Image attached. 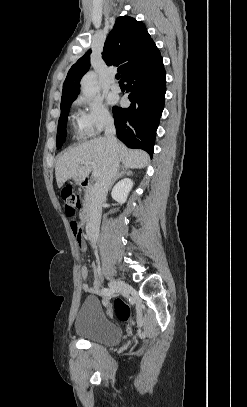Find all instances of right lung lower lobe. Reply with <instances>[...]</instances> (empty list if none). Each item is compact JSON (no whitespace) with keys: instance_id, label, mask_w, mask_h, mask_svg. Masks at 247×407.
I'll list each match as a JSON object with an SVG mask.
<instances>
[{"instance_id":"obj_1","label":"right lung lower lobe","mask_w":247,"mask_h":407,"mask_svg":"<svg viewBox=\"0 0 247 407\" xmlns=\"http://www.w3.org/2000/svg\"><path fill=\"white\" fill-rule=\"evenodd\" d=\"M166 72L161 56L129 72L128 108L113 107L117 137L129 148L153 154L156 130L164 108Z\"/></svg>"}]
</instances>
